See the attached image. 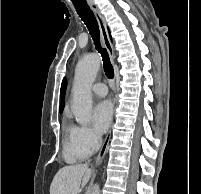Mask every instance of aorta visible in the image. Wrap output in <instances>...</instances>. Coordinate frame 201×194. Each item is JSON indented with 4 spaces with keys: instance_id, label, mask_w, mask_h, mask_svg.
Returning a JSON list of instances; mask_svg holds the SVG:
<instances>
[{
    "instance_id": "762f6f07",
    "label": "aorta",
    "mask_w": 201,
    "mask_h": 194,
    "mask_svg": "<svg viewBox=\"0 0 201 194\" xmlns=\"http://www.w3.org/2000/svg\"><path fill=\"white\" fill-rule=\"evenodd\" d=\"M100 63V56L94 53L82 58L75 69L71 110L76 122L81 125H86L91 120V87L99 71ZM91 194H100L98 184L93 186Z\"/></svg>"
}]
</instances>
